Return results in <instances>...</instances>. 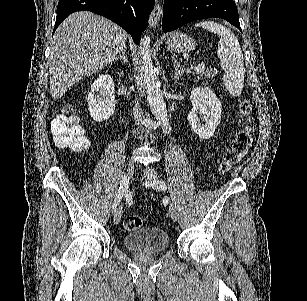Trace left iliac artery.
<instances>
[{
    "label": "left iliac artery",
    "mask_w": 307,
    "mask_h": 301,
    "mask_svg": "<svg viewBox=\"0 0 307 301\" xmlns=\"http://www.w3.org/2000/svg\"><path fill=\"white\" fill-rule=\"evenodd\" d=\"M156 183H157V185H159V187L163 190H165L166 189V184H165V182H163V181H156Z\"/></svg>",
    "instance_id": "left-iliac-artery-1"
}]
</instances>
